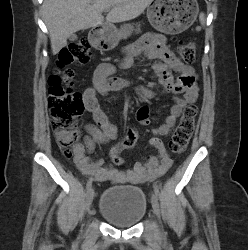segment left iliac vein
I'll use <instances>...</instances> for the list:
<instances>
[{"mask_svg":"<svg viewBox=\"0 0 248 250\" xmlns=\"http://www.w3.org/2000/svg\"><path fill=\"white\" fill-rule=\"evenodd\" d=\"M152 207H153V211H154V214L160 218V206H159V202H158V199H157V196L156 195H152Z\"/></svg>","mask_w":248,"mask_h":250,"instance_id":"obj_1","label":"left iliac vein"}]
</instances>
